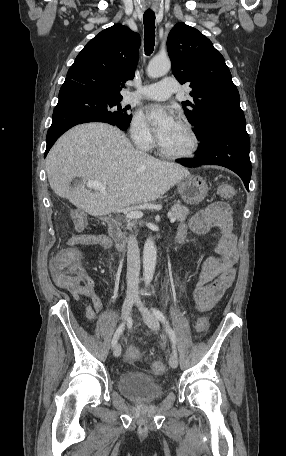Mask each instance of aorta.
Masks as SVG:
<instances>
[{"label":"aorta","instance_id":"obj_1","mask_svg":"<svg viewBox=\"0 0 286 456\" xmlns=\"http://www.w3.org/2000/svg\"><path fill=\"white\" fill-rule=\"evenodd\" d=\"M171 69L168 58L154 57L148 64L147 74L151 78L164 76ZM157 259V249L152 238H148L143 248V277L146 285L153 279Z\"/></svg>","mask_w":286,"mask_h":456}]
</instances>
